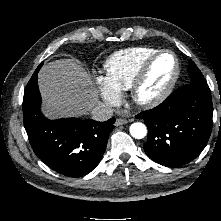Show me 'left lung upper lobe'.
<instances>
[{"label": "left lung upper lobe", "instance_id": "obj_1", "mask_svg": "<svg viewBox=\"0 0 221 221\" xmlns=\"http://www.w3.org/2000/svg\"><path fill=\"white\" fill-rule=\"evenodd\" d=\"M188 72L190 75V78L193 81H199V80H205L201 71L197 68L195 63L193 61H190L188 64Z\"/></svg>", "mask_w": 221, "mask_h": 221}]
</instances>
